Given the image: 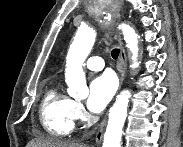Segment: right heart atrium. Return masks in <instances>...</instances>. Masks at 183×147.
Instances as JSON below:
<instances>
[{"label":"right heart atrium","instance_id":"1","mask_svg":"<svg viewBox=\"0 0 183 147\" xmlns=\"http://www.w3.org/2000/svg\"><path fill=\"white\" fill-rule=\"evenodd\" d=\"M74 117L77 120H83L85 118V111L81 103L75 102Z\"/></svg>","mask_w":183,"mask_h":147}]
</instances>
